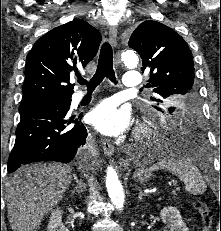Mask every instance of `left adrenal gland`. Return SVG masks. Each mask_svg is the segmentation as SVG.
I'll list each match as a JSON object with an SVG mask.
<instances>
[{
    "instance_id": "left-adrenal-gland-1",
    "label": "left adrenal gland",
    "mask_w": 221,
    "mask_h": 231,
    "mask_svg": "<svg viewBox=\"0 0 221 231\" xmlns=\"http://www.w3.org/2000/svg\"><path fill=\"white\" fill-rule=\"evenodd\" d=\"M143 196H147V194L143 193L142 189H139V196H138V200L141 201Z\"/></svg>"
}]
</instances>
